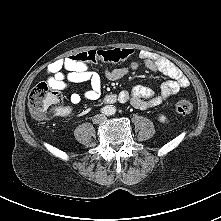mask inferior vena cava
<instances>
[{
    "label": "inferior vena cava",
    "mask_w": 221,
    "mask_h": 221,
    "mask_svg": "<svg viewBox=\"0 0 221 221\" xmlns=\"http://www.w3.org/2000/svg\"><path fill=\"white\" fill-rule=\"evenodd\" d=\"M106 116L104 114H97L93 117V122L95 124H100L106 121Z\"/></svg>",
    "instance_id": "1"
}]
</instances>
